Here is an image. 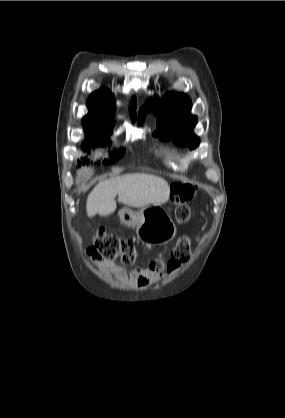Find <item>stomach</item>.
Instances as JSON below:
<instances>
[{"mask_svg": "<svg viewBox=\"0 0 285 418\" xmlns=\"http://www.w3.org/2000/svg\"><path fill=\"white\" fill-rule=\"evenodd\" d=\"M119 217L124 225L135 227L138 238L145 243L166 242L176 234L175 225L160 206L152 205L140 212L123 208Z\"/></svg>", "mask_w": 285, "mask_h": 418, "instance_id": "obj_1", "label": "stomach"}]
</instances>
